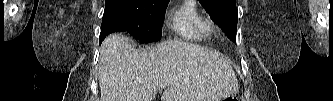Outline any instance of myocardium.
I'll return each mask as SVG.
<instances>
[{"label": "myocardium", "instance_id": "1", "mask_svg": "<svg viewBox=\"0 0 333 101\" xmlns=\"http://www.w3.org/2000/svg\"><path fill=\"white\" fill-rule=\"evenodd\" d=\"M210 24V30H214L215 29V25L213 22L209 21Z\"/></svg>", "mask_w": 333, "mask_h": 101}]
</instances>
